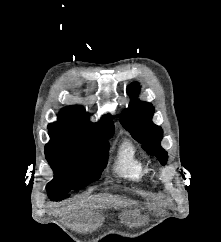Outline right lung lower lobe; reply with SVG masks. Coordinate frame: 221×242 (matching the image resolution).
<instances>
[{
    "mask_svg": "<svg viewBox=\"0 0 221 242\" xmlns=\"http://www.w3.org/2000/svg\"><path fill=\"white\" fill-rule=\"evenodd\" d=\"M53 201H60L61 199L50 197Z\"/></svg>",
    "mask_w": 221,
    "mask_h": 242,
    "instance_id": "98d812e1",
    "label": "right lung lower lobe"
}]
</instances>
